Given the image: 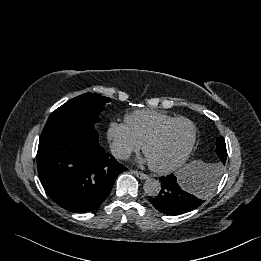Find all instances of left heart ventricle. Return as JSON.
I'll return each mask as SVG.
<instances>
[{
    "instance_id": "b2bd125f",
    "label": "left heart ventricle",
    "mask_w": 261,
    "mask_h": 261,
    "mask_svg": "<svg viewBox=\"0 0 261 261\" xmlns=\"http://www.w3.org/2000/svg\"><path fill=\"white\" fill-rule=\"evenodd\" d=\"M192 137V127L179 122L168 128L162 137L147 149L148 161L156 166H166L177 161L187 149Z\"/></svg>"
}]
</instances>
